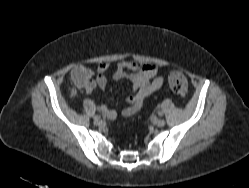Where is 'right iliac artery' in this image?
I'll return each instance as SVG.
<instances>
[{"label": "right iliac artery", "mask_w": 249, "mask_h": 188, "mask_svg": "<svg viewBox=\"0 0 249 188\" xmlns=\"http://www.w3.org/2000/svg\"><path fill=\"white\" fill-rule=\"evenodd\" d=\"M96 119H100V116L99 115H95L94 116V120H96Z\"/></svg>", "instance_id": "right-iliac-artery-1"}]
</instances>
